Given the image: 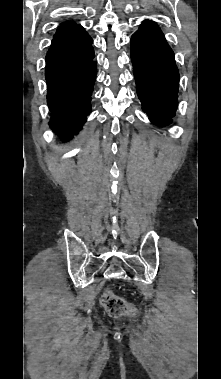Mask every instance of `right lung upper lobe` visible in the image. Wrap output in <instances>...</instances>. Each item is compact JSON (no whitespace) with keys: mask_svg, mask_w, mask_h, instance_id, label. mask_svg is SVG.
I'll list each match as a JSON object with an SVG mask.
<instances>
[{"mask_svg":"<svg viewBox=\"0 0 221 379\" xmlns=\"http://www.w3.org/2000/svg\"><path fill=\"white\" fill-rule=\"evenodd\" d=\"M76 26H77V24H75L74 22L64 23V24H62V25L59 27V29L57 30V32H56V34L54 35V37L57 36V35H60V34H62V33H64V32H66V31H68V30H70V29H72V28H74V27H76Z\"/></svg>","mask_w":221,"mask_h":379,"instance_id":"cb5924a9","label":"right lung upper lobe"}]
</instances>
